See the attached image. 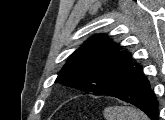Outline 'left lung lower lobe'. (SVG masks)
<instances>
[{
  "instance_id": "0a47b994",
  "label": "left lung lower lobe",
  "mask_w": 165,
  "mask_h": 120,
  "mask_svg": "<svg viewBox=\"0 0 165 120\" xmlns=\"http://www.w3.org/2000/svg\"><path fill=\"white\" fill-rule=\"evenodd\" d=\"M107 96L131 103L151 120H158V101L148 79L142 73V66L137 63L132 62L122 83Z\"/></svg>"
}]
</instances>
